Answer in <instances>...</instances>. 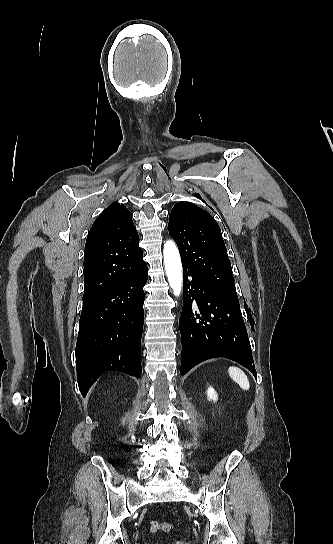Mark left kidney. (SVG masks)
I'll return each instance as SVG.
<instances>
[{
    "label": "left kidney",
    "mask_w": 333,
    "mask_h": 544,
    "mask_svg": "<svg viewBox=\"0 0 333 544\" xmlns=\"http://www.w3.org/2000/svg\"><path fill=\"white\" fill-rule=\"evenodd\" d=\"M207 397H208V400H213L214 402L217 401V393L214 390V388L209 387L207 389Z\"/></svg>",
    "instance_id": "5707ae66"
}]
</instances>
